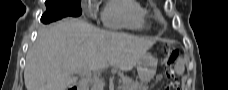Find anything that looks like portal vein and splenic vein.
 <instances>
[{"label":"portal vein and splenic vein","mask_w":228,"mask_h":90,"mask_svg":"<svg viewBox=\"0 0 228 90\" xmlns=\"http://www.w3.org/2000/svg\"><path fill=\"white\" fill-rule=\"evenodd\" d=\"M79 74H81V73H79ZM83 75H86V76H89L90 75V72H88V71H85L84 73H82Z\"/></svg>","instance_id":"obj_1"}]
</instances>
